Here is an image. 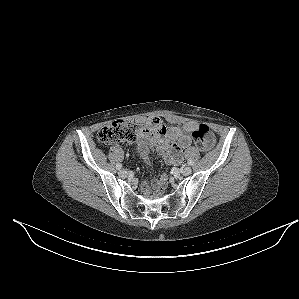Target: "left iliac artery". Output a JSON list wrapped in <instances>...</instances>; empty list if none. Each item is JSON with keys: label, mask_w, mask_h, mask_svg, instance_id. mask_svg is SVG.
Segmentation results:
<instances>
[{"label": "left iliac artery", "mask_w": 299, "mask_h": 299, "mask_svg": "<svg viewBox=\"0 0 299 299\" xmlns=\"http://www.w3.org/2000/svg\"><path fill=\"white\" fill-rule=\"evenodd\" d=\"M187 163H188V165H191V166L194 164V162L192 160H188Z\"/></svg>", "instance_id": "44dca946"}]
</instances>
